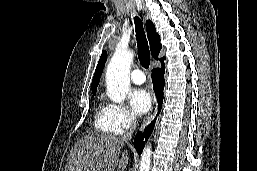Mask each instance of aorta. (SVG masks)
I'll list each match as a JSON object with an SVG mask.
<instances>
[{"label":"aorta","instance_id":"aorta-1","mask_svg":"<svg viewBox=\"0 0 257 171\" xmlns=\"http://www.w3.org/2000/svg\"><path fill=\"white\" fill-rule=\"evenodd\" d=\"M133 52L117 49L106 70L107 95L115 103L123 102L130 90L129 72ZM151 146L147 145L141 155L140 171H150Z\"/></svg>","mask_w":257,"mask_h":171}]
</instances>
